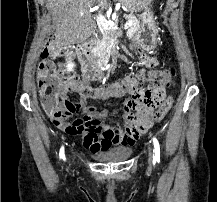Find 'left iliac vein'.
<instances>
[{
    "mask_svg": "<svg viewBox=\"0 0 217 202\" xmlns=\"http://www.w3.org/2000/svg\"><path fill=\"white\" fill-rule=\"evenodd\" d=\"M148 154H149V159H152V157H153V150H152L151 146H149V148H148Z\"/></svg>",
    "mask_w": 217,
    "mask_h": 202,
    "instance_id": "1",
    "label": "left iliac vein"
}]
</instances>
